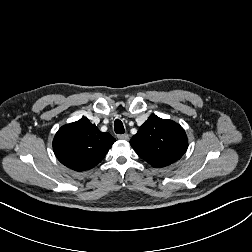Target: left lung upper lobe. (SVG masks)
<instances>
[{"instance_id": "obj_1", "label": "left lung upper lobe", "mask_w": 252, "mask_h": 252, "mask_svg": "<svg viewBox=\"0 0 252 252\" xmlns=\"http://www.w3.org/2000/svg\"><path fill=\"white\" fill-rule=\"evenodd\" d=\"M130 144L151 166L164 167L183 156L188 140L179 124L151 115L131 138Z\"/></svg>"}]
</instances>
